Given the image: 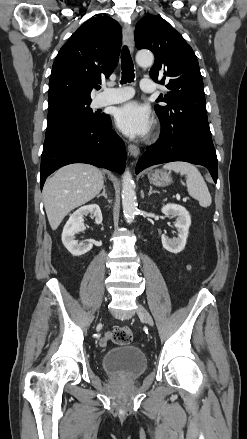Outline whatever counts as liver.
Returning a JSON list of instances; mask_svg holds the SVG:
<instances>
[{"instance_id":"6515ba94","label":"liver","mask_w":247,"mask_h":439,"mask_svg":"<svg viewBox=\"0 0 247 439\" xmlns=\"http://www.w3.org/2000/svg\"><path fill=\"white\" fill-rule=\"evenodd\" d=\"M104 186L103 172L97 167L75 163L60 168L43 188L47 218L56 230L64 217L100 193Z\"/></svg>"}]
</instances>
